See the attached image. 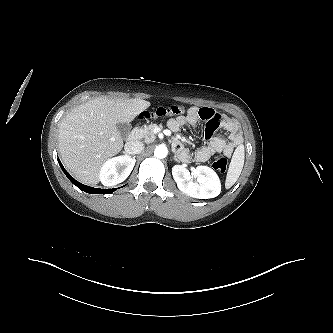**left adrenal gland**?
Returning <instances> with one entry per match:
<instances>
[{
	"mask_svg": "<svg viewBox=\"0 0 333 333\" xmlns=\"http://www.w3.org/2000/svg\"><path fill=\"white\" fill-rule=\"evenodd\" d=\"M174 160H175L176 162H179V160H178L176 157H174Z\"/></svg>",
	"mask_w": 333,
	"mask_h": 333,
	"instance_id": "obj_1",
	"label": "left adrenal gland"
}]
</instances>
